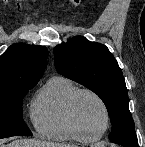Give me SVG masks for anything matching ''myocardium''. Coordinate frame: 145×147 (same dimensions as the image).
Instances as JSON below:
<instances>
[{"label":"myocardium","instance_id":"1","mask_svg":"<svg viewBox=\"0 0 145 147\" xmlns=\"http://www.w3.org/2000/svg\"><path fill=\"white\" fill-rule=\"evenodd\" d=\"M81 94H89L92 97H94L99 102V104L101 105V107L104 111L105 126H104L103 130L97 134L86 133L78 120V117H77L76 111H75V106H76V101ZM67 113H68L69 120L72 123L75 130L78 133H80L87 141H93V140L100 139L101 137H103L106 134V132L109 130L110 125H111V113H110V110H109L107 103L97 92H95L91 89H88V88H78L70 96L68 103H67Z\"/></svg>","mask_w":145,"mask_h":147}]
</instances>
